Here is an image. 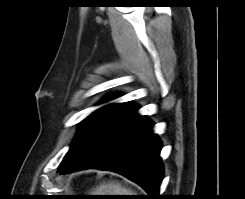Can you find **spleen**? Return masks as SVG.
<instances>
[{
    "label": "spleen",
    "mask_w": 245,
    "mask_h": 199,
    "mask_svg": "<svg viewBox=\"0 0 245 199\" xmlns=\"http://www.w3.org/2000/svg\"><path fill=\"white\" fill-rule=\"evenodd\" d=\"M91 193V195H137L132 189L122 186L121 183L116 181L103 182Z\"/></svg>",
    "instance_id": "obj_1"
}]
</instances>
